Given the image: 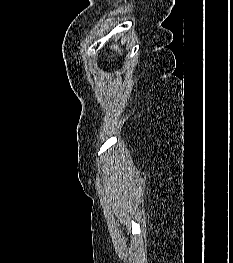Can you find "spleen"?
I'll return each instance as SVG.
<instances>
[{
	"instance_id": "spleen-1",
	"label": "spleen",
	"mask_w": 233,
	"mask_h": 263,
	"mask_svg": "<svg viewBox=\"0 0 233 263\" xmlns=\"http://www.w3.org/2000/svg\"><path fill=\"white\" fill-rule=\"evenodd\" d=\"M111 49H114L116 52H118L119 54H121V49L119 48V46L116 44V45H112L110 46Z\"/></svg>"
}]
</instances>
